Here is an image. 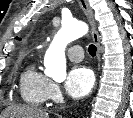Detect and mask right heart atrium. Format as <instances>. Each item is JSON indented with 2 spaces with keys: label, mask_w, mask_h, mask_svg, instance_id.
Segmentation results:
<instances>
[{
  "label": "right heart atrium",
  "mask_w": 133,
  "mask_h": 118,
  "mask_svg": "<svg viewBox=\"0 0 133 118\" xmlns=\"http://www.w3.org/2000/svg\"><path fill=\"white\" fill-rule=\"evenodd\" d=\"M60 94L61 91L59 85L50 80L48 85V98L51 100H57L60 97Z\"/></svg>",
  "instance_id": "d8ad5b80"
}]
</instances>
